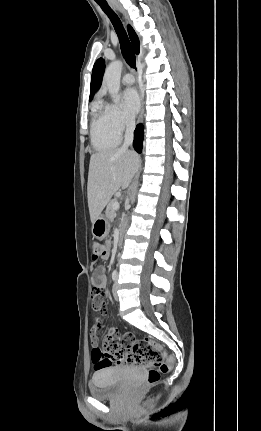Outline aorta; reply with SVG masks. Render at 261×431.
<instances>
[{
	"label": "aorta",
	"instance_id": "762f6f07",
	"mask_svg": "<svg viewBox=\"0 0 261 431\" xmlns=\"http://www.w3.org/2000/svg\"><path fill=\"white\" fill-rule=\"evenodd\" d=\"M123 64L121 61L111 62L105 70L103 83L107 87L114 102L119 100L120 77Z\"/></svg>",
	"mask_w": 261,
	"mask_h": 431
}]
</instances>
